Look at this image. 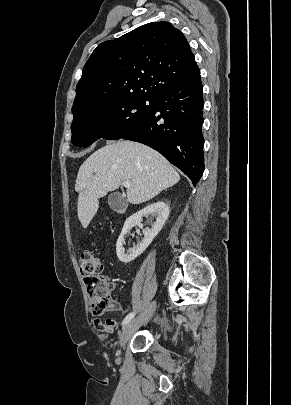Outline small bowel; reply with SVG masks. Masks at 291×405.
<instances>
[{
    "label": "small bowel",
    "instance_id": "1",
    "mask_svg": "<svg viewBox=\"0 0 291 405\" xmlns=\"http://www.w3.org/2000/svg\"><path fill=\"white\" fill-rule=\"evenodd\" d=\"M114 289H115V287L113 285H111V292L114 291ZM110 309L112 311H120V310H122V307L117 301L112 300ZM116 325H117V323L113 319H108L105 322H103L100 319L94 320V326L100 332L111 333V332H113Z\"/></svg>",
    "mask_w": 291,
    "mask_h": 405
}]
</instances>
